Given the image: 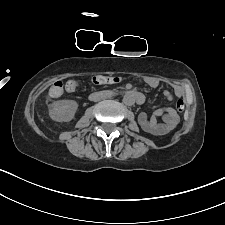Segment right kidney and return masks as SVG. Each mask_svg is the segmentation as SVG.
<instances>
[{"mask_svg":"<svg viewBox=\"0 0 225 225\" xmlns=\"http://www.w3.org/2000/svg\"><path fill=\"white\" fill-rule=\"evenodd\" d=\"M77 108L78 104L74 100L55 101L49 109V115L57 122H68L74 118Z\"/></svg>","mask_w":225,"mask_h":225,"instance_id":"ca27d5eb","label":"right kidney"}]
</instances>
